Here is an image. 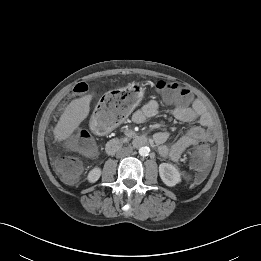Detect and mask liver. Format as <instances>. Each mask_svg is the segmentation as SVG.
Masks as SVG:
<instances>
[{
	"instance_id": "6515ba94",
	"label": "liver",
	"mask_w": 261,
	"mask_h": 261,
	"mask_svg": "<svg viewBox=\"0 0 261 261\" xmlns=\"http://www.w3.org/2000/svg\"><path fill=\"white\" fill-rule=\"evenodd\" d=\"M91 99L92 95L89 94L69 103L54 128L53 133L56 141L67 139L78 128L89 114Z\"/></svg>"
}]
</instances>
